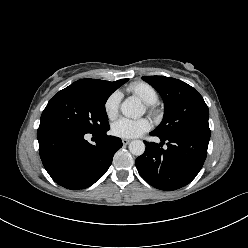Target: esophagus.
Returning a JSON list of instances; mask_svg holds the SVG:
<instances>
[{"label": "esophagus", "instance_id": "34e87169", "mask_svg": "<svg viewBox=\"0 0 248 248\" xmlns=\"http://www.w3.org/2000/svg\"><path fill=\"white\" fill-rule=\"evenodd\" d=\"M130 141H131L130 139H126V138H123V139H122V143H123L124 145H127Z\"/></svg>", "mask_w": 248, "mask_h": 248}]
</instances>
